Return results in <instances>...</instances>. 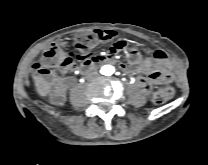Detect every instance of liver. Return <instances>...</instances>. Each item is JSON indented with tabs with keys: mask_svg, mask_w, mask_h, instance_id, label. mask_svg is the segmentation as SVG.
<instances>
[{
	"mask_svg": "<svg viewBox=\"0 0 208 165\" xmlns=\"http://www.w3.org/2000/svg\"><path fill=\"white\" fill-rule=\"evenodd\" d=\"M35 86L38 94L45 97L49 93V84L40 76L35 77Z\"/></svg>",
	"mask_w": 208,
	"mask_h": 165,
	"instance_id": "1",
	"label": "liver"
}]
</instances>
